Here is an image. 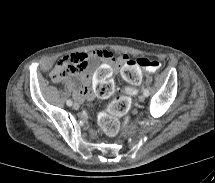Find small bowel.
I'll return each mask as SVG.
<instances>
[{"mask_svg": "<svg viewBox=\"0 0 215 183\" xmlns=\"http://www.w3.org/2000/svg\"><path fill=\"white\" fill-rule=\"evenodd\" d=\"M88 57H97L107 61H116L117 65H124L129 60V56L126 54H121L115 57L111 52L105 49L95 50L89 55L85 53H73L63 57L58 63L65 64L70 68L71 73L69 76L80 77L79 85L77 82L71 81V84L76 87L74 96L78 101H83L85 98L92 97V93L87 90L88 85L91 83V76L88 72L83 70ZM53 73V81L61 80H55L53 78ZM111 80L112 70L109 66L100 65L96 68L95 74L92 78V90L97 99L106 100L112 95L114 91V84Z\"/></svg>", "mask_w": 215, "mask_h": 183, "instance_id": "obj_1", "label": "small bowel"}]
</instances>
